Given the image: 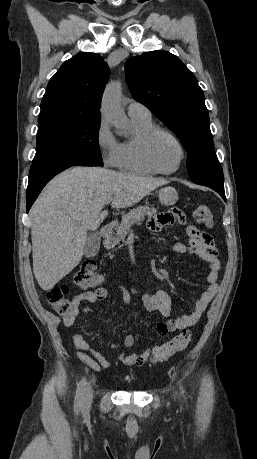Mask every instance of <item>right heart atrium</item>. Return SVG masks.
<instances>
[{
    "label": "right heart atrium",
    "mask_w": 257,
    "mask_h": 459,
    "mask_svg": "<svg viewBox=\"0 0 257 459\" xmlns=\"http://www.w3.org/2000/svg\"><path fill=\"white\" fill-rule=\"evenodd\" d=\"M96 144L103 162L108 166H115L119 143L111 132L109 124L101 120L96 132Z\"/></svg>",
    "instance_id": "obj_1"
}]
</instances>
